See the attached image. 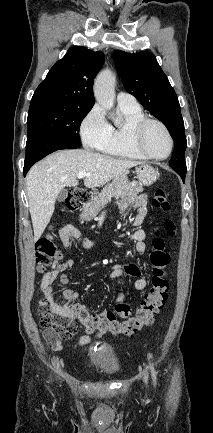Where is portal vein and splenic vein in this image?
Segmentation results:
<instances>
[{"instance_id":"1","label":"portal vein and splenic vein","mask_w":213,"mask_h":433,"mask_svg":"<svg viewBox=\"0 0 213 433\" xmlns=\"http://www.w3.org/2000/svg\"><path fill=\"white\" fill-rule=\"evenodd\" d=\"M87 175H88L87 172H80V173H78L77 178L82 179V178L86 177Z\"/></svg>"}]
</instances>
